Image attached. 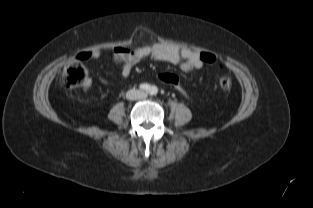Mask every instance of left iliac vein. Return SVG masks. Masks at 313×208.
<instances>
[{
    "mask_svg": "<svg viewBox=\"0 0 313 208\" xmlns=\"http://www.w3.org/2000/svg\"><path fill=\"white\" fill-rule=\"evenodd\" d=\"M147 97L146 93H139V98L140 99H145Z\"/></svg>",
    "mask_w": 313,
    "mask_h": 208,
    "instance_id": "4c4485c4",
    "label": "left iliac vein"
}]
</instances>
